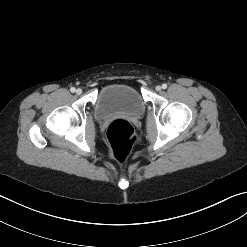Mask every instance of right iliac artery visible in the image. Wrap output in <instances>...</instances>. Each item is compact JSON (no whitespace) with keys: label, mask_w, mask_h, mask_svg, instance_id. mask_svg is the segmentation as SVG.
Instances as JSON below:
<instances>
[{"label":"right iliac artery","mask_w":247,"mask_h":247,"mask_svg":"<svg viewBox=\"0 0 247 247\" xmlns=\"http://www.w3.org/2000/svg\"><path fill=\"white\" fill-rule=\"evenodd\" d=\"M70 91H71L72 93H74V92H75V88L72 87V88L70 89Z\"/></svg>","instance_id":"right-iliac-artery-1"}]
</instances>
